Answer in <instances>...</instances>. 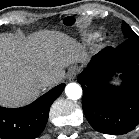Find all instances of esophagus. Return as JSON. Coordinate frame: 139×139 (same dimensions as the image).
I'll list each match as a JSON object with an SVG mask.
<instances>
[{
  "instance_id": "esophagus-1",
  "label": "esophagus",
  "mask_w": 139,
  "mask_h": 139,
  "mask_svg": "<svg viewBox=\"0 0 139 139\" xmlns=\"http://www.w3.org/2000/svg\"><path fill=\"white\" fill-rule=\"evenodd\" d=\"M79 72V68L77 66H71L69 69H68V72H67V78L69 80H72L74 79L77 74Z\"/></svg>"
}]
</instances>
